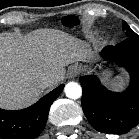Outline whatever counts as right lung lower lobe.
<instances>
[{
    "instance_id": "1",
    "label": "right lung lower lobe",
    "mask_w": 139,
    "mask_h": 139,
    "mask_svg": "<svg viewBox=\"0 0 139 139\" xmlns=\"http://www.w3.org/2000/svg\"><path fill=\"white\" fill-rule=\"evenodd\" d=\"M64 85H60L34 105L18 111L0 109V138L34 139L43 130L51 104L60 95Z\"/></svg>"
}]
</instances>
